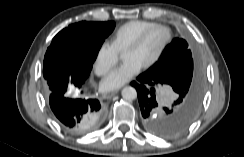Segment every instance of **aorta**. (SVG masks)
I'll use <instances>...</instances> for the list:
<instances>
[{
	"instance_id": "aorta-1",
	"label": "aorta",
	"mask_w": 244,
	"mask_h": 157,
	"mask_svg": "<svg viewBox=\"0 0 244 157\" xmlns=\"http://www.w3.org/2000/svg\"><path fill=\"white\" fill-rule=\"evenodd\" d=\"M121 95L125 100L132 101L137 97V92L134 87L127 86L122 89Z\"/></svg>"
}]
</instances>
